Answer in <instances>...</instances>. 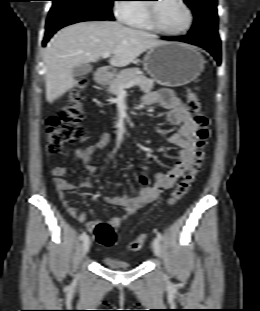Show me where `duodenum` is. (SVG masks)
I'll return each instance as SVG.
<instances>
[{
	"mask_svg": "<svg viewBox=\"0 0 260 311\" xmlns=\"http://www.w3.org/2000/svg\"><path fill=\"white\" fill-rule=\"evenodd\" d=\"M110 77V70L106 67H102L99 69L97 73V81L103 85L105 84Z\"/></svg>",
	"mask_w": 260,
	"mask_h": 311,
	"instance_id": "obj_1",
	"label": "duodenum"
}]
</instances>
